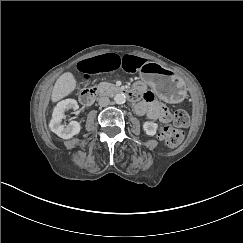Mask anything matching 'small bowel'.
<instances>
[{
    "label": "small bowel",
    "mask_w": 243,
    "mask_h": 243,
    "mask_svg": "<svg viewBox=\"0 0 243 243\" xmlns=\"http://www.w3.org/2000/svg\"><path fill=\"white\" fill-rule=\"evenodd\" d=\"M143 64L144 60L139 56L107 53L83 60L78 66L84 73L108 72L117 69L136 72ZM136 87L142 92L143 97L135 107L136 112L140 115H146L151 120L168 122L171 115L166 106L156 99L153 92L146 90L144 84L137 83Z\"/></svg>",
    "instance_id": "c3829d8e"
}]
</instances>
